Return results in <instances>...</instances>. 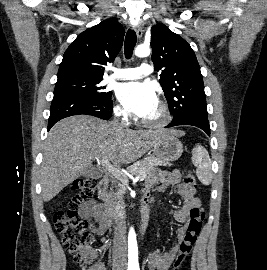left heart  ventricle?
Segmentation results:
<instances>
[{
	"instance_id": "left-heart-ventricle-1",
	"label": "left heart ventricle",
	"mask_w": 267,
	"mask_h": 270,
	"mask_svg": "<svg viewBox=\"0 0 267 270\" xmlns=\"http://www.w3.org/2000/svg\"><path fill=\"white\" fill-rule=\"evenodd\" d=\"M158 117H159V107L157 105V107L151 113H149L146 117H144V119L155 120Z\"/></svg>"
}]
</instances>
